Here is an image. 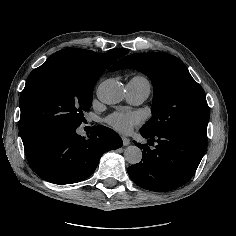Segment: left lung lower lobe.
Listing matches in <instances>:
<instances>
[{
  "mask_svg": "<svg viewBox=\"0 0 236 236\" xmlns=\"http://www.w3.org/2000/svg\"><path fill=\"white\" fill-rule=\"evenodd\" d=\"M141 135L155 146L134 142L143 157L128 167V174L138 186L151 191L167 192L187 183L207 149V138L191 133L164 130L154 136Z\"/></svg>",
  "mask_w": 236,
  "mask_h": 236,
  "instance_id": "left-lung-lower-lobe-1",
  "label": "left lung lower lobe"
}]
</instances>
